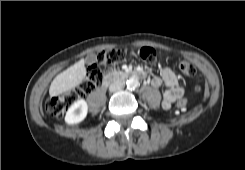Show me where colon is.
I'll return each instance as SVG.
<instances>
[{
    "label": "colon",
    "mask_w": 245,
    "mask_h": 170,
    "mask_svg": "<svg viewBox=\"0 0 245 170\" xmlns=\"http://www.w3.org/2000/svg\"><path fill=\"white\" fill-rule=\"evenodd\" d=\"M126 56L123 49H111L108 51H100L96 54V63L89 67L86 79L77 87L62 93L61 95L49 98L46 101L47 112L55 117L63 116L66 109L75 101L84 97L85 94L98 87L103 79L102 69L111 68L118 65ZM140 58L148 63H152L156 59V53L151 48H142L139 51ZM180 72L189 78H196L195 91H201L202 84L197 78L196 70L191 62L182 59L178 64ZM187 104L186 99L177 102L178 108H183Z\"/></svg>",
    "instance_id": "colon-1"
}]
</instances>
